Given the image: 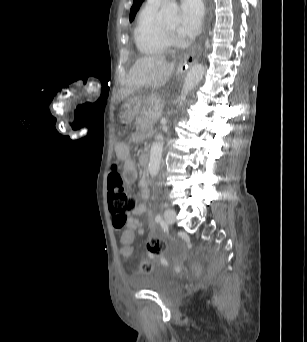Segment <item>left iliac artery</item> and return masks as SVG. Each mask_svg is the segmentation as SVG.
<instances>
[{"label": "left iliac artery", "mask_w": 307, "mask_h": 342, "mask_svg": "<svg viewBox=\"0 0 307 342\" xmlns=\"http://www.w3.org/2000/svg\"><path fill=\"white\" fill-rule=\"evenodd\" d=\"M155 221L158 222V223L162 222V217L160 215H157L155 217Z\"/></svg>", "instance_id": "obj_1"}]
</instances>
